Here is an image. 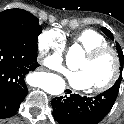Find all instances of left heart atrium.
I'll return each instance as SVG.
<instances>
[{"label":"left heart atrium","instance_id":"obj_1","mask_svg":"<svg viewBox=\"0 0 124 124\" xmlns=\"http://www.w3.org/2000/svg\"><path fill=\"white\" fill-rule=\"evenodd\" d=\"M66 78L69 84L75 89L84 90L91 88L88 75L83 70L69 71L66 73Z\"/></svg>","mask_w":124,"mask_h":124}]
</instances>
